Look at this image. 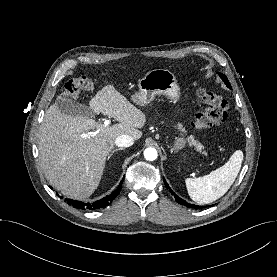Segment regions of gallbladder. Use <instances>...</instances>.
I'll return each instance as SVG.
<instances>
[{
    "mask_svg": "<svg viewBox=\"0 0 277 277\" xmlns=\"http://www.w3.org/2000/svg\"><path fill=\"white\" fill-rule=\"evenodd\" d=\"M55 104L64 114L83 117H93L94 115L90 107L70 99L65 92L58 96Z\"/></svg>",
    "mask_w": 277,
    "mask_h": 277,
    "instance_id": "obj_1",
    "label": "gallbladder"
}]
</instances>
